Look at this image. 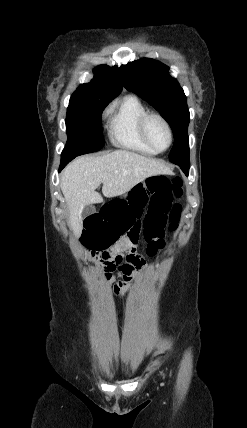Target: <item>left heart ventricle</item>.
<instances>
[{
    "mask_svg": "<svg viewBox=\"0 0 247 428\" xmlns=\"http://www.w3.org/2000/svg\"><path fill=\"white\" fill-rule=\"evenodd\" d=\"M148 133L151 141L157 148H166L169 142V135L161 121L151 119L148 124Z\"/></svg>",
    "mask_w": 247,
    "mask_h": 428,
    "instance_id": "b2bd125f",
    "label": "left heart ventricle"
}]
</instances>
